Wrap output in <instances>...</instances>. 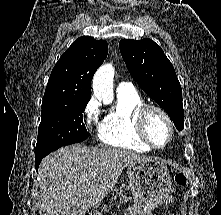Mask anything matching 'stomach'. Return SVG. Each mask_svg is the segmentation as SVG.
<instances>
[{
    "label": "stomach",
    "instance_id": "obj_1",
    "mask_svg": "<svg viewBox=\"0 0 221 215\" xmlns=\"http://www.w3.org/2000/svg\"><path fill=\"white\" fill-rule=\"evenodd\" d=\"M127 176L134 204L126 209L125 215H152L168 198L172 181L163 162L147 159L132 163L128 165Z\"/></svg>",
    "mask_w": 221,
    "mask_h": 215
}]
</instances>
